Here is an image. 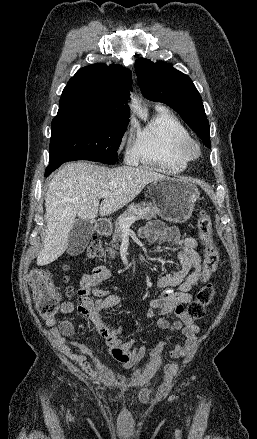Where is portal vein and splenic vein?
<instances>
[{"label": "portal vein and splenic vein", "mask_w": 257, "mask_h": 439, "mask_svg": "<svg viewBox=\"0 0 257 439\" xmlns=\"http://www.w3.org/2000/svg\"><path fill=\"white\" fill-rule=\"evenodd\" d=\"M109 195H110V193H109L108 191H102V192L100 193V196H101L102 198H106V197H108ZM136 220H137V218H136L135 216H131V217H128V218L122 219V220L120 221V225H121L122 228H129V227L131 226V224L134 223Z\"/></svg>", "instance_id": "obj_1"}]
</instances>
